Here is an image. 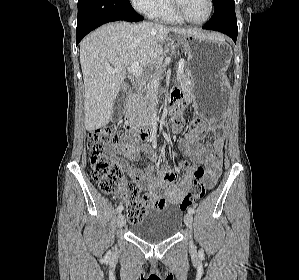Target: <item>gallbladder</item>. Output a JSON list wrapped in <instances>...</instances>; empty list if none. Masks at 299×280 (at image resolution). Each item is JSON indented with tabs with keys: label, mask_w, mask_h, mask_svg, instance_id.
<instances>
[{
	"label": "gallbladder",
	"mask_w": 299,
	"mask_h": 280,
	"mask_svg": "<svg viewBox=\"0 0 299 280\" xmlns=\"http://www.w3.org/2000/svg\"><path fill=\"white\" fill-rule=\"evenodd\" d=\"M125 101V94L120 93L117 95L114 103H113V111H112V120L115 121L119 119L123 113V105Z\"/></svg>",
	"instance_id": "gallbladder-1"
}]
</instances>
